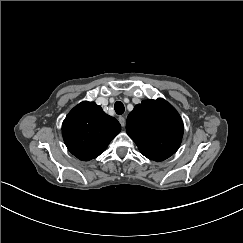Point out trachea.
Here are the masks:
<instances>
[{
    "mask_svg": "<svg viewBox=\"0 0 243 243\" xmlns=\"http://www.w3.org/2000/svg\"><path fill=\"white\" fill-rule=\"evenodd\" d=\"M114 109L118 115H122L125 111V106L121 101H116L114 104Z\"/></svg>",
    "mask_w": 243,
    "mask_h": 243,
    "instance_id": "3493384b",
    "label": "trachea"
}]
</instances>
